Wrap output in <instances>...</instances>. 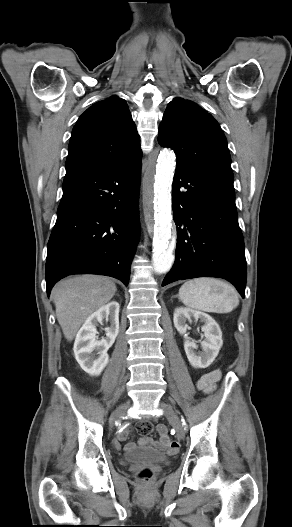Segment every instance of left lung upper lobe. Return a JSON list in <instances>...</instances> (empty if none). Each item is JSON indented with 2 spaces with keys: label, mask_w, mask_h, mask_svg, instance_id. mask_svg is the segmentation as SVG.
Returning a JSON list of instances; mask_svg holds the SVG:
<instances>
[{
  "label": "left lung upper lobe",
  "mask_w": 292,
  "mask_h": 527,
  "mask_svg": "<svg viewBox=\"0 0 292 527\" xmlns=\"http://www.w3.org/2000/svg\"><path fill=\"white\" fill-rule=\"evenodd\" d=\"M158 142L176 153L177 166L233 179L226 137L218 122L195 102L174 98L159 126Z\"/></svg>",
  "instance_id": "obj_1"
}]
</instances>
